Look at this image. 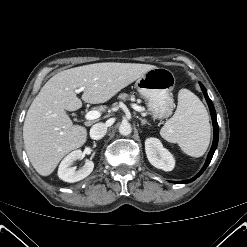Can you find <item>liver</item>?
<instances>
[{
	"label": "liver",
	"mask_w": 247,
	"mask_h": 247,
	"mask_svg": "<svg viewBox=\"0 0 247 247\" xmlns=\"http://www.w3.org/2000/svg\"><path fill=\"white\" fill-rule=\"evenodd\" d=\"M154 68L149 64L95 63L51 77L30 105L23 126L25 150L34 169L42 176L50 175L66 154L86 142V128L73 125L66 113L82 107L74 89L83 88L81 98L86 103H105Z\"/></svg>",
	"instance_id": "1"
}]
</instances>
